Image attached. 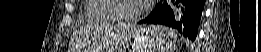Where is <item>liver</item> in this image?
<instances>
[{"instance_id": "liver-1", "label": "liver", "mask_w": 261, "mask_h": 52, "mask_svg": "<svg viewBox=\"0 0 261 52\" xmlns=\"http://www.w3.org/2000/svg\"><path fill=\"white\" fill-rule=\"evenodd\" d=\"M130 29V26L107 29L103 36V47L106 48V50L117 47L120 44L121 39L127 35V32H129ZM100 47H102V45H100Z\"/></svg>"}]
</instances>
